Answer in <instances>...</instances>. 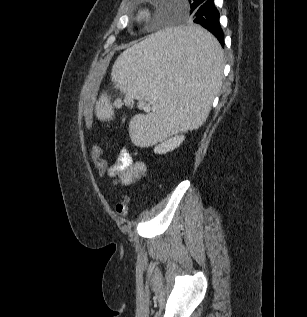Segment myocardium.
<instances>
[{
	"mask_svg": "<svg viewBox=\"0 0 307 317\" xmlns=\"http://www.w3.org/2000/svg\"><path fill=\"white\" fill-rule=\"evenodd\" d=\"M151 14H152L151 8L148 7V6H144V7L140 8L139 10L136 11V13L133 16V20L136 23H143L147 19L150 18Z\"/></svg>",
	"mask_w": 307,
	"mask_h": 317,
	"instance_id": "obj_1",
	"label": "myocardium"
}]
</instances>
